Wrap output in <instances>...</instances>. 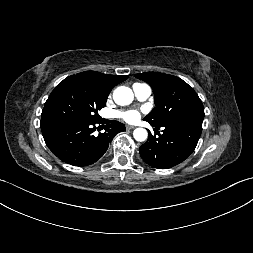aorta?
Segmentation results:
<instances>
[{"label": "aorta", "mask_w": 253, "mask_h": 253, "mask_svg": "<svg viewBox=\"0 0 253 253\" xmlns=\"http://www.w3.org/2000/svg\"><path fill=\"white\" fill-rule=\"evenodd\" d=\"M134 95L130 88L120 86L113 92V99L116 104L125 106L129 105L133 101ZM134 139L142 142L147 139L148 133L144 128H136L133 132Z\"/></svg>", "instance_id": "aorta-1"}]
</instances>
